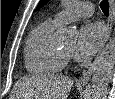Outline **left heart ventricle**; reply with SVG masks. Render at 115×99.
Segmentation results:
<instances>
[{"instance_id": "1", "label": "left heart ventricle", "mask_w": 115, "mask_h": 99, "mask_svg": "<svg viewBox=\"0 0 115 99\" xmlns=\"http://www.w3.org/2000/svg\"><path fill=\"white\" fill-rule=\"evenodd\" d=\"M74 48H75V46H74V44L72 43V44L67 45V46L63 49V51L72 54L73 51H74Z\"/></svg>"}]
</instances>
